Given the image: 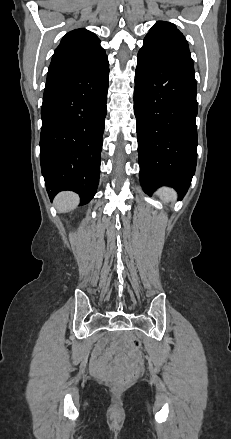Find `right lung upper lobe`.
Instances as JSON below:
<instances>
[{
    "label": "right lung upper lobe",
    "mask_w": 231,
    "mask_h": 439,
    "mask_svg": "<svg viewBox=\"0 0 231 439\" xmlns=\"http://www.w3.org/2000/svg\"><path fill=\"white\" fill-rule=\"evenodd\" d=\"M105 57L99 38L91 31L83 28L70 31L53 54L47 81L89 70Z\"/></svg>",
    "instance_id": "obj_1"
}]
</instances>
